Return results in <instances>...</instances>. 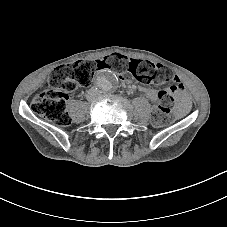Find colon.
Listing matches in <instances>:
<instances>
[{
    "label": "colon",
    "mask_w": 227,
    "mask_h": 227,
    "mask_svg": "<svg viewBox=\"0 0 227 227\" xmlns=\"http://www.w3.org/2000/svg\"><path fill=\"white\" fill-rule=\"evenodd\" d=\"M104 69H110L120 75L130 74L144 86L175 82V85L158 92L159 104L151 117L152 124L156 127H163L172 121L171 107L182 88L178 77L162 64L129 59L120 54L57 67L50 74L44 88L33 97V110L54 124L68 126L71 123L66 107L68 93L77 86H88L94 73Z\"/></svg>",
    "instance_id": "1"
}]
</instances>
